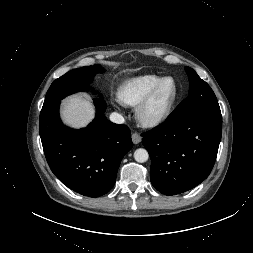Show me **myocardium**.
Here are the masks:
<instances>
[{"mask_svg":"<svg viewBox=\"0 0 253 253\" xmlns=\"http://www.w3.org/2000/svg\"><path fill=\"white\" fill-rule=\"evenodd\" d=\"M173 83V92L163 107L156 113L151 112L154 101L165 82ZM178 96V85L174 78L167 76L159 80L147 96L137 106L136 116L139 123L144 127H156L162 124L170 115Z\"/></svg>","mask_w":253,"mask_h":253,"instance_id":"f54148a6","label":"myocardium"}]
</instances>
